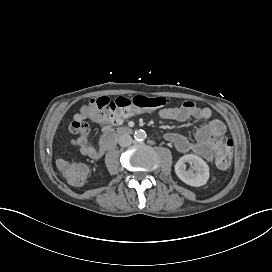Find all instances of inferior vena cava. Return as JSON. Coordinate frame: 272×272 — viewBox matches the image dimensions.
I'll return each instance as SVG.
<instances>
[{
    "mask_svg": "<svg viewBox=\"0 0 272 272\" xmlns=\"http://www.w3.org/2000/svg\"><path fill=\"white\" fill-rule=\"evenodd\" d=\"M118 142L121 147H128L132 144V137L129 134H123L119 137Z\"/></svg>",
    "mask_w": 272,
    "mask_h": 272,
    "instance_id": "inferior-vena-cava-1",
    "label": "inferior vena cava"
}]
</instances>
